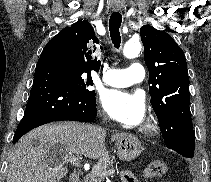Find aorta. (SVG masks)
<instances>
[{
	"label": "aorta",
	"instance_id": "1",
	"mask_svg": "<svg viewBox=\"0 0 211 182\" xmlns=\"http://www.w3.org/2000/svg\"><path fill=\"white\" fill-rule=\"evenodd\" d=\"M141 43L139 41L129 40L123 48V55L127 58H134L141 52Z\"/></svg>",
	"mask_w": 211,
	"mask_h": 182
}]
</instances>
